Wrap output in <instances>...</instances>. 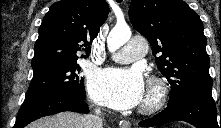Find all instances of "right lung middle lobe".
<instances>
[{
    "instance_id": "right-lung-middle-lobe-1",
    "label": "right lung middle lobe",
    "mask_w": 221,
    "mask_h": 128,
    "mask_svg": "<svg viewBox=\"0 0 221 128\" xmlns=\"http://www.w3.org/2000/svg\"><path fill=\"white\" fill-rule=\"evenodd\" d=\"M80 70L75 62L34 73L26 98L52 90H67L86 96L83 78L78 76Z\"/></svg>"
}]
</instances>
